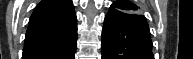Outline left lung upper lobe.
Listing matches in <instances>:
<instances>
[{
  "instance_id": "1",
  "label": "left lung upper lobe",
  "mask_w": 193,
  "mask_h": 59,
  "mask_svg": "<svg viewBox=\"0 0 193 59\" xmlns=\"http://www.w3.org/2000/svg\"><path fill=\"white\" fill-rule=\"evenodd\" d=\"M109 11L114 13L126 14L129 17H132L133 19L144 18V16L140 14L139 7H137L134 3L128 0L115 1L111 5Z\"/></svg>"
}]
</instances>
